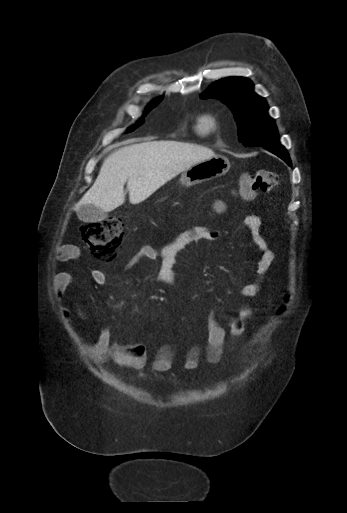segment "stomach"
Segmentation results:
<instances>
[{
	"label": "stomach",
	"instance_id": "obj_1",
	"mask_svg": "<svg viewBox=\"0 0 347 513\" xmlns=\"http://www.w3.org/2000/svg\"><path fill=\"white\" fill-rule=\"evenodd\" d=\"M230 168L229 160L221 155H214L192 165L182 172L180 181L183 185L193 186L224 175Z\"/></svg>",
	"mask_w": 347,
	"mask_h": 513
}]
</instances>
